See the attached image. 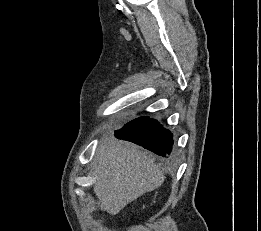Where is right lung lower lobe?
<instances>
[{"label": "right lung lower lobe", "mask_w": 261, "mask_h": 231, "mask_svg": "<svg viewBox=\"0 0 261 231\" xmlns=\"http://www.w3.org/2000/svg\"><path fill=\"white\" fill-rule=\"evenodd\" d=\"M119 139L132 141L162 157H169L173 140L172 134L157 120L148 117L136 118L115 131Z\"/></svg>", "instance_id": "right-lung-lower-lobe-1"}]
</instances>
